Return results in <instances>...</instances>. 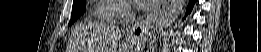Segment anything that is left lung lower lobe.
Returning <instances> with one entry per match:
<instances>
[{"label":"left lung lower lobe","mask_w":261,"mask_h":52,"mask_svg":"<svg viewBox=\"0 0 261 52\" xmlns=\"http://www.w3.org/2000/svg\"><path fill=\"white\" fill-rule=\"evenodd\" d=\"M196 0H190V3H189V6L187 8V13H190L192 8H193V5L195 4Z\"/></svg>","instance_id":"obj_1"}]
</instances>
